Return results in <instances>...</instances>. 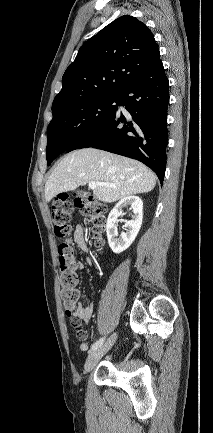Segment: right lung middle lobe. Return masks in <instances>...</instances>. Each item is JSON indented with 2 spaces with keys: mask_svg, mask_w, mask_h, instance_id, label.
<instances>
[{
  "mask_svg": "<svg viewBox=\"0 0 213 433\" xmlns=\"http://www.w3.org/2000/svg\"><path fill=\"white\" fill-rule=\"evenodd\" d=\"M120 98L121 95H98L67 105L53 113L47 129V165L106 123L116 111Z\"/></svg>",
  "mask_w": 213,
  "mask_h": 433,
  "instance_id": "right-lung-middle-lobe-1",
  "label": "right lung middle lobe"
}]
</instances>
